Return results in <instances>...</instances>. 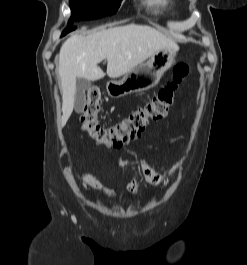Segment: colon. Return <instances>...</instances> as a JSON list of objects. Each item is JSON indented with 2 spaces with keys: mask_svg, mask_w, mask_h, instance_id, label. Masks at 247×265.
I'll return each mask as SVG.
<instances>
[{
  "mask_svg": "<svg viewBox=\"0 0 247 265\" xmlns=\"http://www.w3.org/2000/svg\"><path fill=\"white\" fill-rule=\"evenodd\" d=\"M188 73L189 67L186 64L176 65L172 79L158 91L154 98L110 127H104L100 123L102 97L99 90H88L81 114L83 131L99 145L121 148L138 138L152 122L159 121L168 114L174 103L176 92Z\"/></svg>",
  "mask_w": 247,
  "mask_h": 265,
  "instance_id": "5ec220e1",
  "label": "colon"
}]
</instances>
